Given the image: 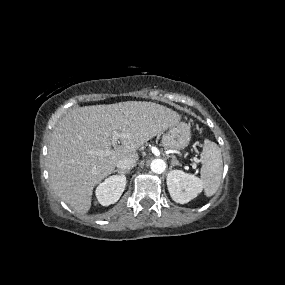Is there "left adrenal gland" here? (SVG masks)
<instances>
[{"label": "left adrenal gland", "instance_id": "1", "mask_svg": "<svg viewBox=\"0 0 285 285\" xmlns=\"http://www.w3.org/2000/svg\"><path fill=\"white\" fill-rule=\"evenodd\" d=\"M181 166V164L179 163V161L176 159L175 156H172V161H171V165H170V168H172L173 166Z\"/></svg>", "mask_w": 285, "mask_h": 285}]
</instances>
